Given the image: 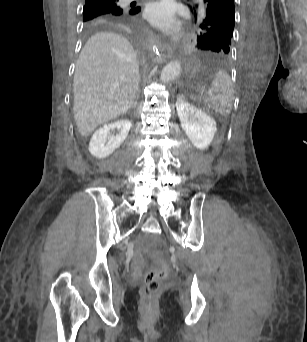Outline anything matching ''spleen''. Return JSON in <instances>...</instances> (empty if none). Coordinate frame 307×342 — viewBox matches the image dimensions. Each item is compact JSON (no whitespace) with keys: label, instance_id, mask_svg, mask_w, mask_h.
<instances>
[{"label":"spleen","instance_id":"spleen-1","mask_svg":"<svg viewBox=\"0 0 307 342\" xmlns=\"http://www.w3.org/2000/svg\"><path fill=\"white\" fill-rule=\"evenodd\" d=\"M213 104L215 114H232L231 104L234 100V90L231 78L225 70H219L211 82V92L204 98Z\"/></svg>","mask_w":307,"mask_h":342}]
</instances>
